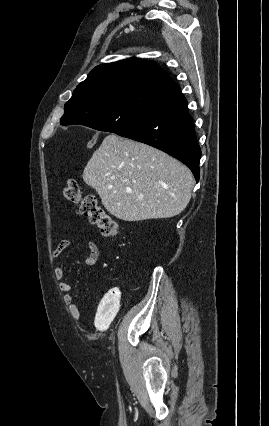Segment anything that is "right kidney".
I'll return each mask as SVG.
<instances>
[{"instance_id":"ca27d5eb","label":"right kidney","mask_w":269,"mask_h":426,"mask_svg":"<svg viewBox=\"0 0 269 426\" xmlns=\"http://www.w3.org/2000/svg\"><path fill=\"white\" fill-rule=\"evenodd\" d=\"M120 289L118 286H111L101 300L95 317V327L100 330H106L116 316L120 307Z\"/></svg>"}]
</instances>
